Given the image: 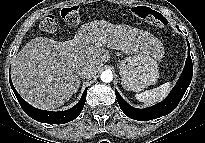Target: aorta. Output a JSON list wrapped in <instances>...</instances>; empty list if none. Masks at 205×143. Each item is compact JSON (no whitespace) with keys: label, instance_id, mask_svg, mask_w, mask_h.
<instances>
[{"label":"aorta","instance_id":"aorta-1","mask_svg":"<svg viewBox=\"0 0 205 143\" xmlns=\"http://www.w3.org/2000/svg\"><path fill=\"white\" fill-rule=\"evenodd\" d=\"M113 79V74L109 70H105L101 73V81L105 83L111 82Z\"/></svg>","mask_w":205,"mask_h":143}]
</instances>
